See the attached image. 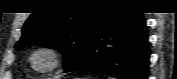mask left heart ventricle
Returning <instances> with one entry per match:
<instances>
[{
    "label": "left heart ventricle",
    "mask_w": 177,
    "mask_h": 79,
    "mask_svg": "<svg viewBox=\"0 0 177 79\" xmlns=\"http://www.w3.org/2000/svg\"><path fill=\"white\" fill-rule=\"evenodd\" d=\"M50 62L51 59L48 54H39L34 58V64L39 68L48 66Z\"/></svg>",
    "instance_id": "1"
}]
</instances>
